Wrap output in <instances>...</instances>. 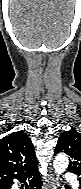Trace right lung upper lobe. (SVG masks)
Instances as JSON below:
<instances>
[{
  "label": "right lung upper lobe",
  "instance_id": "1",
  "mask_svg": "<svg viewBox=\"0 0 81 189\" xmlns=\"http://www.w3.org/2000/svg\"><path fill=\"white\" fill-rule=\"evenodd\" d=\"M38 164L33 144L22 131L0 140V185L7 184Z\"/></svg>",
  "mask_w": 81,
  "mask_h": 189
}]
</instances>
